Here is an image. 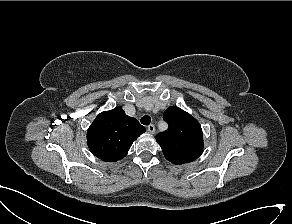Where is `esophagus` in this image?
I'll use <instances>...</instances> for the list:
<instances>
[{"instance_id":"34e87169","label":"esophagus","mask_w":292,"mask_h":224,"mask_svg":"<svg viewBox=\"0 0 292 224\" xmlns=\"http://www.w3.org/2000/svg\"><path fill=\"white\" fill-rule=\"evenodd\" d=\"M147 131L151 134H154L155 133V126L153 124H150L148 127H147Z\"/></svg>"}]
</instances>
